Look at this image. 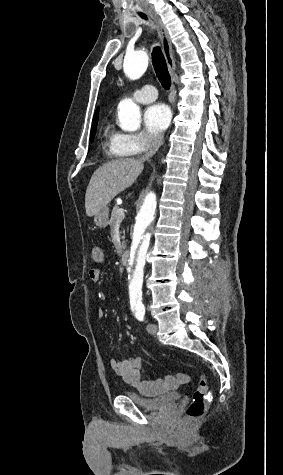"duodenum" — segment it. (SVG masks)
I'll list each match as a JSON object with an SVG mask.
<instances>
[{
  "label": "duodenum",
  "mask_w": 283,
  "mask_h": 475,
  "mask_svg": "<svg viewBox=\"0 0 283 475\" xmlns=\"http://www.w3.org/2000/svg\"><path fill=\"white\" fill-rule=\"evenodd\" d=\"M129 260V251L128 250H124L121 254V261L123 264H126Z\"/></svg>",
  "instance_id": "duodenum-1"
}]
</instances>
